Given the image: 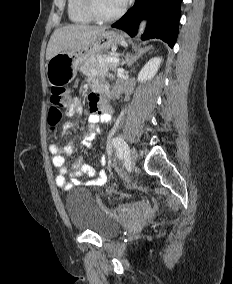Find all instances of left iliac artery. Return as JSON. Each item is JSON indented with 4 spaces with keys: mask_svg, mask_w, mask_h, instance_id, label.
I'll return each mask as SVG.
<instances>
[{
    "mask_svg": "<svg viewBox=\"0 0 233 284\" xmlns=\"http://www.w3.org/2000/svg\"><path fill=\"white\" fill-rule=\"evenodd\" d=\"M116 151H117V156L119 158L126 157L129 153V147L127 143L121 138V137H116L112 141Z\"/></svg>",
    "mask_w": 233,
    "mask_h": 284,
    "instance_id": "obj_1",
    "label": "left iliac artery"
}]
</instances>
